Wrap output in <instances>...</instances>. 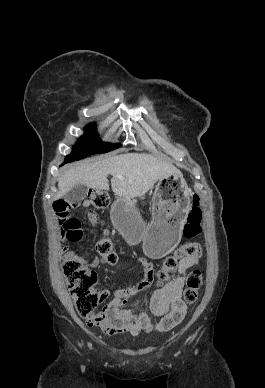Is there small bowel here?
I'll return each mask as SVG.
<instances>
[{"label":"small bowel","mask_w":265,"mask_h":388,"mask_svg":"<svg viewBox=\"0 0 265 388\" xmlns=\"http://www.w3.org/2000/svg\"><path fill=\"white\" fill-rule=\"evenodd\" d=\"M80 205L82 207H89L91 202L84 200ZM88 216L92 221L97 219V215L93 211H89ZM61 251L65 253L66 259L71 257L77 258L74 253L68 251L64 246L61 247ZM81 262L86 266L95 267L98 265L99 259L93 257ZM139 262L143 268L141 279L126 290L114 292L112 300L101 312L104 316L103 322L95 325L108 335L128 333L132 336H137L143 331H152L154 329L167 331L178 325L186 315L187 307L182 301L185 274L188 269L198 264V258L182 259L179 262L178 275L153 293L150 300V310L135 312L125 309L127 299L147 288L154 275V265L152 262L145 258H139ZM110 295L108 290H103L100 295V302L108 299ZM151 315L160 317V321L154 323Z\"/></svg>","instance_id":"obj_1"}]
</instances>
